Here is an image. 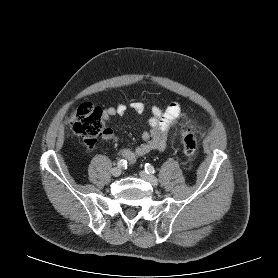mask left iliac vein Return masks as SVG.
Masks as SVG:
<instances>
[{
	"instance_id": "obj_1",
	"label": "left iliac vein",
	"mask_w": 278,
	"mask_h": 278,
	"mask_svg": "<svg viewBox=\"0 0 278 278\" xmlns=\"http://www.w3.org/2000/svg\"><path fill=\"white\" fill-rule=\"evenodd\" d=\"M139 175L143 180L149 182L152 186L158 185V179L155 176L148 174L145 171H141Z\"/></svg>"
}]
</instances>
